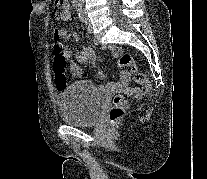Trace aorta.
Instances as JSON below:
<instances>
[{"label":"aorta","instance_id":"obj_1","mask_svg":"<svg viewBox=\"0 0 207 179\" xmlns=\"http://www.w3.org/2000/svg\"><path fill=\"white\" fill-rule=\"evenodd\" d=\"M72 3L75 5H82L84 3V0H72Z\"/></svg>","mask_w":207,"mask_h":179}]
</instances>
